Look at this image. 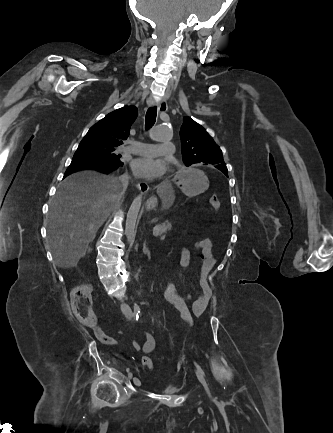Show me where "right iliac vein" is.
Instances as JSON below:
<instances>
[{"label": "right iliac vein", "instance_id": "1", "mask_svg": "<svg viewBox=\"0 0 333 433\" xmlns=\"http://www.w3.org/2000/svg\"><path fill=\"white\" fill-rule=\"evenodd\" d=\"M132 377H133V373L129 372L128 373V378L132 379ZM133 382H134L135 386H140L141 385V382H140V380L138 378H134Z\"/></svg>", "mask_w": 333, "mask_h": 433}]
</instances>
